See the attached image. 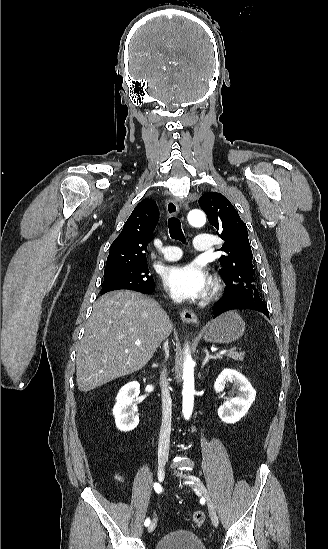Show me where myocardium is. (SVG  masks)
<instances>
[{"instance_id": "obj_1", "label": "myocardium", "mask_w": 328, "mask_h": 549, "mask_svg": "<svg viewBox=\"0 0 328 549\" xmlns=\"http://www.w3.org/2000/svg\"><path fill=\"white\" fill-rule=\"evenodd\" d=\"M220 289H221V287H220L219 283L215 282L213 284V287H212V295L213 296L217 295L219 293Z\"/></svg>"}]
</instances>
